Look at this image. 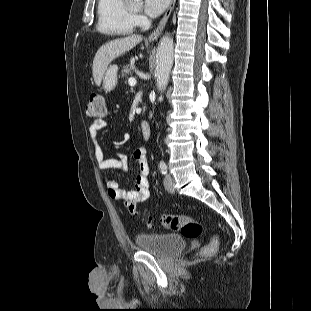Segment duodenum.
I'll return each instance as SVG.
<instances>
[{"mask_svg":"<svg viewBox=\"0 0 311 311\" xmlns=\"http://www.w3.org/2000/svg\"><path fill=\"white\" fill-rule=\"evenodd\" d=\"M141 131L143 140H148L151 136V126L147 121H142Z\"/></svg>","mask_w":311,"mask_h":311,"instance_id":"1","label":"duodenum"}]
</instances>
